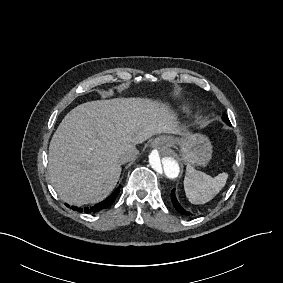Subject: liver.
Instances as JSON below:
<instances>
[{
    "label": "liver",
    "mask_w": 283,
    "mask_h": 283,
    "mask_svg": "<svg viewBox=\"0 0 283 283\" xmlns=\"http://www.w3.org/2000/svg\"><path fill=\"white\" fill-rule=\"evenodd\" d=\"M176 113L148 98H114L78 105L55 131L48 155L50 180L59 197L81 206L104 200L115 188L128 145L155 134H187Z\"/></svg>",
    "instance_id": "obj_1"
}]
</instances>
